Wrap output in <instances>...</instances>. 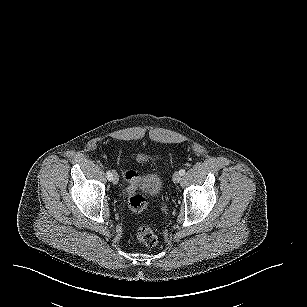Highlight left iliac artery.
Wrapping results in <instances>:
<instances>
[{"label": "left iliac artery", "instance_id": "left-iliac-artery-1", "mask_svg": "<svg viewBox=\"0 0 307 307\" xmlns=\"http://www.w3.org/2000/svg\"><path fill=\"white\" fill-rule=\"evenodd\" d=\"M179 173L183 176V175L186 173V171H185V169H181V170L179 171Z\"/></svg>", "mask_w": 307, "mask_h": 307}]
</instances>
